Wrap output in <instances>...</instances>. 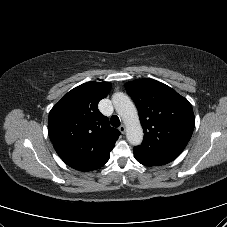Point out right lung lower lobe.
Returning a JSON list of instances; mask_svg holds the SVG:
<instances>
[{
    "label": "right lung lower lobe",
    "mask_w": 227,
    "mask_h": 227,
    "mask_svg": "<svg viewBox=\"0 0 227 227\" xmlns=\"http://www.w3.org/2000/svg\"><path fill=\"white\" fill-rule=\"evenodd\" d=\"M109 157H110V152L104 158H102L97 164L79 168L77 170L85 171V172L96 170V169L102 167L109 160Z\"/></svg>",
    "instance_id": "obj_1"
}]
</instances>
